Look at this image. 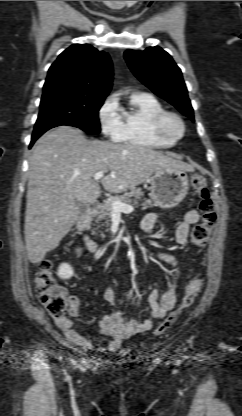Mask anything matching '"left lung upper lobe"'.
Returning a JSON list of instances; mask_svg holds the SVG:
<instances>
[{
  "label": "left lung upper lobe",
  "instance_id": "5c2ea615",
  "mask_svg": "<svg viewBox=\"0 0 242 416\" xmlns=\"http://www.w3.org/2000/svg\"><path fill=\"white\" fill-rule=\"evenodd\" d=\"M124 57L142 83L194 121L182 72L166 51L158 46L144 51L127 50Z\"/></svg>",
  "mask_w": 242,
  "mask_h": 416
}]
</instances>
